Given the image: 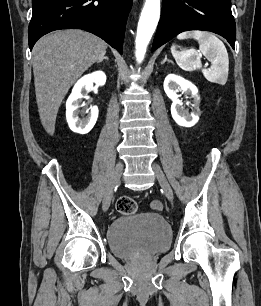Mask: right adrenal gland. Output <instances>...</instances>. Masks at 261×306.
<instances>
[{"label":"right adrenal gland","instance_id":"obj_1","mask_svg":"<svg viewBox=\"0 0 261 306\" xmlns=\"http://www.w3.org/2000/svg\"><path fill=\"white\" fill-rule=\"evenodd\" d=\"M104 60H107V61H108V57H107V56L103 57V58H102L101 60H99L97 63L99 64V63L103 62Z\"/></svg>","mask_w":261,"mask_h":306}]
</instances>
